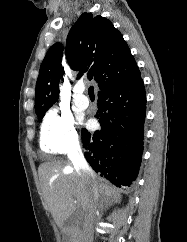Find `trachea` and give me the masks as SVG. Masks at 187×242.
<instances>
[{
    "label": "trachea",
    "instance_id": "trachea-1",
    "mask_svg": "<svg viewBox=\"0 0 187 242\" xmlns=\"http://www.w3.org/2000/svg\"><path fill=\"white\" fill-rule=\"evenodd\" d=\"M88 94H89V97H90V98H94V97H95L93 86H90V87H89V89H88Z\"/></svg>",
    "mask_w": 187,
    "mask_h": 242
}]
</instances>
